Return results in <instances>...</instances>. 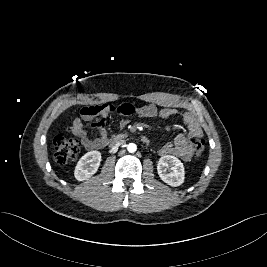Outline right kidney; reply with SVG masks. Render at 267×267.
I'll return each mask as SVG.
<instances>
[{"label":"right kidney","instance_id":"ca27d5eb","mask_svg":"<svg viewBox=\"0 0 267 267\" xmlns=\"http://www.w3.org/2000/svg\"><path fill=\"white\" fill-rule=\"evenodd\" d=\"M100 161L101 153L99 151L93 150L87 152L80 158L75 167V178L78 181H83L93 176L100 166Z\"/></svg>","mask_w":267,"mask_h":267}]
</instances>
